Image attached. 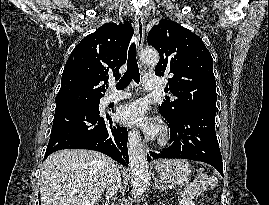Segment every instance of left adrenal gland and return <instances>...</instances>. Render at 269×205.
I'll return each instance as SVG.
<instances>
[{"label": "left adrenal gland", "mask_w": 269, "mask_h": 205, "mask_svg": "<svg viewBox=\"0 0 269 205\" xmlns=\"http://www.w3.org/2000/svg\"><path fill=\"white\" fill-rule=\"evenodd\" d=\"M154 181H155V188L165 190L166 187L164 184L160 183L159 180H157L156 178Z\"/></svg>", "instance_id": "a2214340"}]
</instances>
